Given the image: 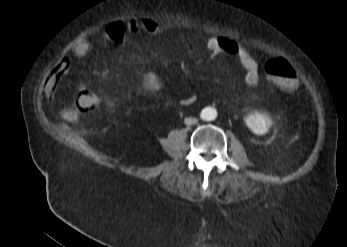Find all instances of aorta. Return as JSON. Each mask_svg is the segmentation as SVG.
<instances>
[{"label": "aorta", "instance_id": "1", "mask_svg": "<svg viewBox=\"0 0 347 247\" xmlns=\"http://www.w3.org/2000/svg\"><path fill=\"white\" fill-rule=\"evenodd\" d=\"M201 118L206 121H212L216 118V111L212 108H205L201 112Z\"/></svg>", "mask_w": 347, "mask_h": 247}]
</instances>
